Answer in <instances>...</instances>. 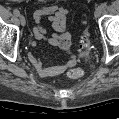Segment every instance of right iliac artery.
I'll return each instance as SVG.
<instances>
[{"label":"right iliac artery","mask_w":119,"mask_h":119,"mask_svg":"<svg viewBox=\"0 0 119 119\" xmlns=\"http://www.w3.org/2000/svg\"><path fill=\"white\" fill-rule=\"evenodd\" d=\"M13 13H14L15 16H19L20 15L19 10H17V9H14Z\"/></svg>","instance_id":"obj_1"}]
</instances>
